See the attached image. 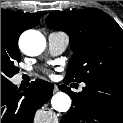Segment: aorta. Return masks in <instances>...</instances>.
<instances>
[{"mask_svg":"<svg viewBox=\"0 0 123 123\" xmlns=\"http://www.w3.org/2000/svg\"><path fill=\"white\" fill-rule=\"evenodd\" d=\"M45 45L44 36L35 30L26 31L20 38V47L29 56L41 54ZM51 105L56 111L67 112L71 107V98L64 92H58L52 97Z\"/></svg>","mask_w":123,"mask_h":123,"instance_id":"762f6f07","label":"aorta"}]
</instances>
